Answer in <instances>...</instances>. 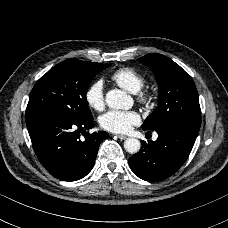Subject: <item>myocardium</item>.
I'll list each match as a JSON object with an SVG mask.
<instances>
[{
    "label": "myocardium",
    "mask_w": 228,
    "mask_h": 228,
    "mask_svg": "<svg viewBox=\"0 0 228 228\" xmlns=\"http://www.w3.org/2000/svg\"><path fill=\"white\" fill-rule=\"evenodd\" d=\"M135 94L137 95V98L141 103H146L150 100L149 93L147 91H145L144 89H141L140 91H138Z\"/></svg>",
    "instance_id": "obj_1"
}]
</instances>
